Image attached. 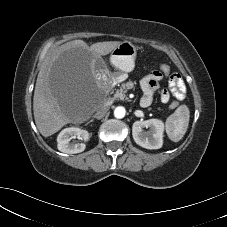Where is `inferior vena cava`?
I'll return each instance as SVG.
<instances>
[{"mask_svg":"<svg viewBox=\"0 0 227 227\" xmlns=\"http://www.w3.org/2000/svg\"><path fill=\"white\" fill-rule=\"evenodd\" d=\"M108 110H109V107L108 106H105V105L101 106L98 109L97 113L95 114V117L97 119L103 118L106 115V113L108 112Z\"/></svg>","mask_w":227,"mask_h":227,"instance_id":"1","label":"inferior vena cava"}]
</instances>
